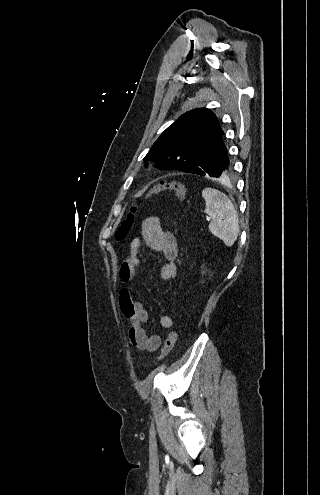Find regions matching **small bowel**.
<instances>
[{
    "instance_id": "c3829d8e",
    "label": "small bowel",
    "mask_w": 320,
    "mask_h": 495,
    "mask_svg": "<svg viewBox=\"0 0 320 495\" xmlns=\"http://www.w3.org/2000/svg\"><path fill=\"white\" fill-rule=\"evenodd\" d=\"M143 245L157 253H161L166 262L160 269L161 278L165 281L172 279L177 272L176 259L178 256V244L175 236L163 229L159 218H146L140 229V234L132 239L129 246V256L122 263L120 278L130 279L136 269L141 265V250ZM120 307L122 313L129 321V338L133 346L140 351L155 352L161 345V336L147 333L146 326L149 314L143 305L132 298L128 291L120 293ZM173 319L168 315L160 317V325L163 328H171Z\"/></svg>"
}]
</instances>
